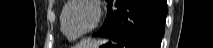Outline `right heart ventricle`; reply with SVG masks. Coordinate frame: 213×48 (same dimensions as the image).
<instances>
[{
  "mask_svg": "<svg viewBox=\"0 0 213 48\" xmlns=\"http://www.w3.org/2000/svg\"><path fill=\"white\" fill-rule=\"evenodd\" d=\"M68 37V36H67ZM70 40H73L74 38L68 37Z\"/></svg>",
  "mask_w": 213,
  "mask_h": 48,
  "instance_id": "obj_1",
  "label": "right heart ventricle"
}]
</instances>
